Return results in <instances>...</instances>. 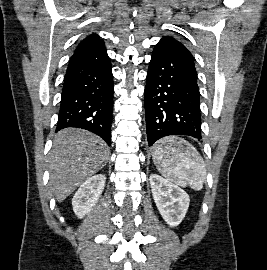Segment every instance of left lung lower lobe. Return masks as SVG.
Wrapping results in <instances>:
<instances>
[{"label":"left lung lower lobe","mask_w":267,"mask_h":270,"mask_svg":"<svg viewBox=\"0 0 267 270\" xmlns=\"http://www.w3.org/2000/svg\"><path fill=\"white\" fill-rule=\"evenodd\" d=\"M199 95L191 53L160 40L152 53L145 87L149 146L170 135L202 138Z\"/></svg>","instance_id":"obj_1"}]
</instances>
